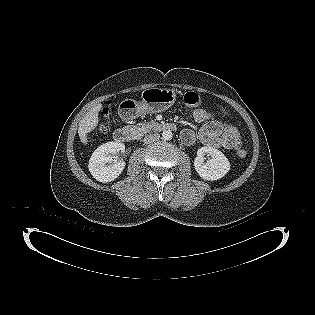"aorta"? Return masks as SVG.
Instances as JSON below:
<instances>
[{
	"mask_svg": "<svg viewBox=\"0 0 315 315\" xmlns=\"http://www.w3.org/2000/svg\"><path fill=\"white\" fill-rule=\"evenodd\" d=\"M162 137L164 140H171L173 137V134H172L171 130H165L162 133Z\"/></svg>",
	"mask_w": 315,
	"mask_h": 315,
	"instance_id": "obj_1",
	"label": "aorta"
}]
</instances>
